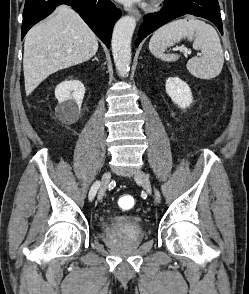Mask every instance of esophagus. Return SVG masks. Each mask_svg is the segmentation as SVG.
<instances>
[{
  "instance_id": "34e87169",
  "label": "esophagus",
  "mask_w": 249,
  "mask_h": 294,
  "mask_svg": "<svg viewBox=\"0 0 249 294\" xmlns=\"http://www.w3.org/2000/svg\"><path fill=\"white\" fill-rule=\"evenodd\" d=\"M129 14L130 15H132V16H134L136 19H140L141 18V13H140V11L138 10V9H136V8H132V9H130L129 10Z\"/></svg>"
}]
</instances>
